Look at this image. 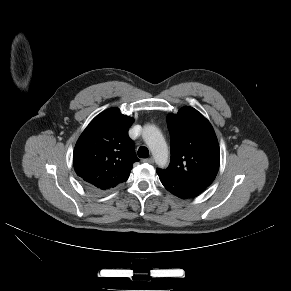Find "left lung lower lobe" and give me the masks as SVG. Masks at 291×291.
<instances>
[{
	"label": "left lung lower lobe",
	"instance_id": "obj_1",
	"mask_svg": "<svg viewBox=\"0 0 291 291\" xmlns=\"http://www.w3.org/2000/svg\"><path fill=\"white\" fill-rule=\"evenodd\" d=\"M159 178L163 186L175 196L187 199V198H194L198 196L203 190L195 188L193 186L181 183L179 181L173 180L161 173H158Z\"/></svg>",
	"mask_w": 291,
	"mask_h": 291
}]
</instances>
